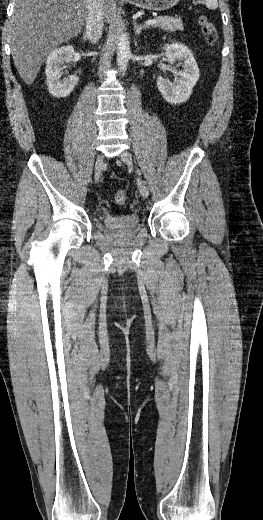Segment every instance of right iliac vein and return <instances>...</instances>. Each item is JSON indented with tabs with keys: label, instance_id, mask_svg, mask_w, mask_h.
<instances>
[{
	"label": "right iliac vein",
	"instance_id": "obj_1",
	"mask_svg": "<svg viewBox=\"0 0 263 520\" xmlns=\"http://www.w3.org/2000/svg\"><path fill=\"white\" fill-rule=\"evenodd\" d=\"M103 164H104L103 156L102 155H98L97 158H96L95 167H94L95 183H97L99 181V179H100L101 171H102V168H103Z\"/></svg>",
	"mask_w": 263,
	"mask_h": 520
}]
</instances>
